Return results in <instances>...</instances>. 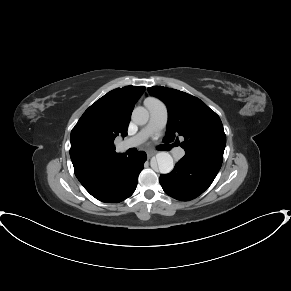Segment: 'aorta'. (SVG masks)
<instances>
[{
    "label": "aorta",
    "mask_w": 291,
    "mask_h": 291,
    "mask_svg": "<svg viewBox=\"0 0 291 291\" xmlns=\"http://www.w3.org/2000/svg\"><path fill=\"white\" fill-rule=\"evenodd\" d=\"M132 120L138 125H144L149 120V112L144 107H136L132 112ZM156 162L159 172L162 174L170 173L174 168L173 158L168 152L156 154Z\"/></svg>",
    "instance_id": "762f6f07"
}]
</instances>
